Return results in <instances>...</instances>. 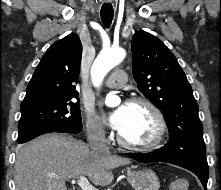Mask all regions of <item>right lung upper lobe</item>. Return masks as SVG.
Here are the masks:
<instances>
[{
  "instance_id": "obj_1",
  "label": "right lung upper lobe",
  "mask_w": 221,
  "mask_h": 190,
  "mask_svg": "<svg viewBox=\"0 0 221 190\" xmlns=\"http://www.w3.org/2000/svg\"><path fill=\"white\" fill-rule=\"evenodd\" d=\"M82 45L78 35L70 34L55 42L38 64L21 105L41 101L75 98Z\"/></svg>"
}]
</instances>
